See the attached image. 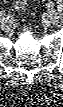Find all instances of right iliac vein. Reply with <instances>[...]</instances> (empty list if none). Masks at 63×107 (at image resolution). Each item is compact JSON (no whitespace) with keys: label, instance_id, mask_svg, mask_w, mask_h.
<instances>
[{"label":"right iliac vein","instance_id":"1","mask_svg":"<svg viewBox=\"0 0 63 107\" xmlns=\"http://www.w3.org/2000/svg\"><path fill=\"white\" fill-rule=\"evenodd\" d=\"M5 23V21L4 20H2V24H4ZM10 24H14V22L12 21Z\"/></svg>","mask_w":63,"mask_h":107}]
</instances>
